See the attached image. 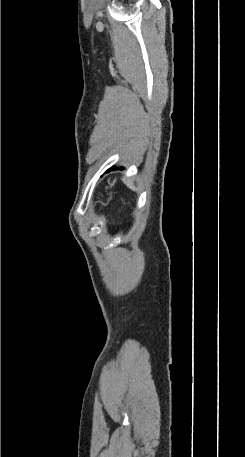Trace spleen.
<instances>
[{"instance_id":"spleen-1","label":"spleen","mask_w":245,"mask_h":457,"mask_svg":"<svg viewBox=\"0 0 245 457\" xmlns=\"http://www.w3.org/2000/svg\"><path fill=\"white\" fill-rule=\"evenodd\" d=\"M125 184L129 186V188H132V190H137L135 184H133L132 180H126V178H123Z\"/></svg>"}]
</instances>
